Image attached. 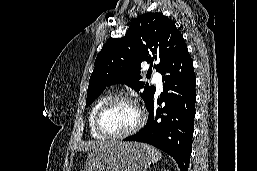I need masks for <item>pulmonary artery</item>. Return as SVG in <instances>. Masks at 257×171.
Instances as JSON below:
<instances>
[{
	"label": "pulmonary artery",
	"instance_id": "e3ab8cb5",
	"mask_svg": "<svg viewBox=\"0 0 257 171\" xmlns=\"http://www.w3.org/2000/svg\"><path fill=\"white\" fill-rule=\"evenodd\" d=\"M152 81L156 85L157 93H161L163 89L161 74L157 72L153 73Z\"/></svg>",
	"mask_w": 257,
	"mask_h": 171
}]
</instances>
